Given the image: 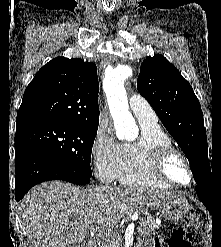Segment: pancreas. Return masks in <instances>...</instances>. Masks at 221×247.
Returning <instances> with one entry per match:
<instances>
[{
	"label": "pancreas",
	"mask_w": 221,
	"mask_h": 247,
	"mask_svg": "<svg viewBox=\"0 0 221 247\" xmlns=\"http://www.w3.org/2000/svg\"><path fill=\"white\" fill-rule=\"evenodd\" d=\"M138 223L137 232L143 237L155 234L156 230L159 228V225L155 222L153 217H148L147 219L141 218ZM100 247H118V242L115 238H109L105 240V242H102Z\"/></svg>",
	"instance_id": "obj_1"
}]
</instances>
